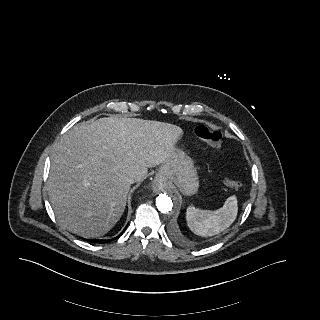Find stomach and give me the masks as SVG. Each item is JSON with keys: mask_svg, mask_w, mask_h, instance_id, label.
<instances>
[{"mask_svg": "<svg viewBox=\"0 0 320 320\" xmlns=\"http://www.w3.org/2000/svg\"><path fill=\"white\" fill-rule=\"evenodd\" d=\"M156 181L166 187L178 189L183 195L198 191L199 180L192 159L180 149L174 148L156 174Z\"/></svg>", "mask_w": 320, "mask_h": 320, "instance_id": "obj_1", "label": "stomach"}]
</instances>
